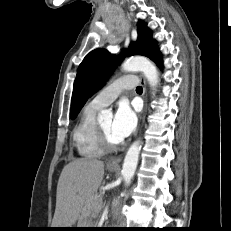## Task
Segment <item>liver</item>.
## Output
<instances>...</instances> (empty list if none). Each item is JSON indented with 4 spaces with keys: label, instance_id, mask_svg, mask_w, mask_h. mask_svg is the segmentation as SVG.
<instances>
[{
    "label": "liver",
    "instance_id": "1",
    "mask_svg": "<svg viewBox=\"0 0 231 231\" xmlns=\"http://www.w3.org/2000/svg\"><path fill=\"white\" fill-rule=\"evenodd\" d=\"M104 176V162L79 158L67 164L59 177L52 228H68L90 215L89 198Z\"/></svg>",
    "mask_w": 231,
    "mask_h": 231
}]
</instances>
